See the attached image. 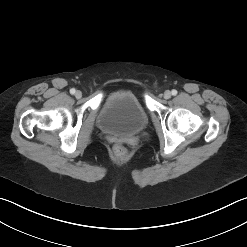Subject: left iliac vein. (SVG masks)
I'll return each mask as SVG.
<instances>
[{
    "label": "left iliac vein",
    "mask_w": 247,
    "mask_h": 247,
    "mask_svg": "<svg viewBox=\"0 0 247 247\" xmlns=\"http://www.w3.org/2000/svg\"><path fill=\"white\" fill-rule=\"evenodd\" d=\"M165 99H169L171 97V92L169 90H166L163 94Z\"/></svg>",
    "instance_id": "1"
}]
</instances>
